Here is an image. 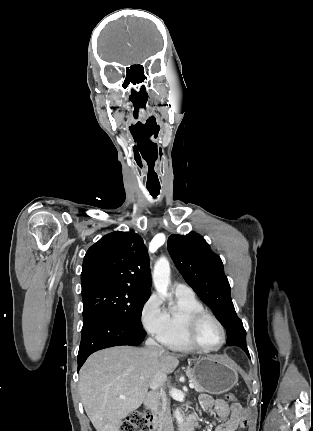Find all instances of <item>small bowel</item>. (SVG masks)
I'll list each match as a JSON object with an SVG mask.
<instances>
[{"label":"small bowel","instance_id":"c3829d8e","mask_svg":"<svg viewBox=\"0 0 313 431\" xmlns=\"http://www.w3.org/2000/svg\"><path fill=\"white\" fill-rule=\"evenodd\" d=\"M199 401L201 409L214 410L218 421L214 431H236L249 424L246 411L238 403L229 405L223 399H213L205 394L200 396Z\"/></svg>","mask_w":313,"mask_h":431}]
</instances>
